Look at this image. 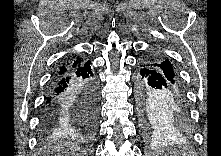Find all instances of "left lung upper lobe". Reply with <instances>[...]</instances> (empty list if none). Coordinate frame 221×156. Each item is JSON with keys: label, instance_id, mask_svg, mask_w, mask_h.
<instances>
[{"label": "left lung upper lobe", "instance_id": "5c2ea615", "mask_svg": "<svg viewBox=\"0 0 221 156\" xmlns=\"http://www.w3.org/2000/svg\"><path fill=\"white\" fill-rule=\"evenodd\" d=\"M142 60L144 62L153 64V65H155L157 67H160V68H163L165 70H169V71L173 72L174 75L177 77V80H178V82L180 84L181 90H183L182 84L180 83L178 74H177L175 68L173 67V64L169 60L165 59L162 56V54L157 53V52L153 53V54H148L147 56L143 57Z\"/></svg>", "mask_w": 221, "mask_h": 156}]
</instances>
